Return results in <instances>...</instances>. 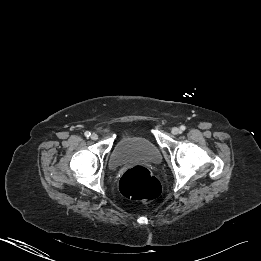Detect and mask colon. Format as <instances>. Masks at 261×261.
<instances>
[{
  "instance_id": "5ec220e1",
  "label": "colon",
  "mask_w": 261,
  "mask_h": 261,
  "mask_svg": "<svg viewBox=\"0 0 261 261\" xmlns=\"http://www.w3.org/2000/svg\"><path fill=\"white\" fill-rule=\"evenodd\" d=\"M120 192L127 198L148 202L161 193L159 180L145 167L128 169L119 181Z\"/></svg>"
}]
</instances>
